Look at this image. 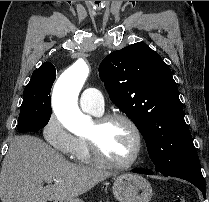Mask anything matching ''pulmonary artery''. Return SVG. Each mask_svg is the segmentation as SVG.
Instances as JSON below:
<instances>
[{
    "mask_svg": "<svg viewBox=\"0 0 209 202\" xmlns=\"http://www.w3.org/2000/svg\"><path fill=\"white\" fill-rule=\"evenodd\" d=\"M79 105L82 110L94 115H100L104 111V101L99 88L86 87L79 97Z\"/></svg>",
    "mask_w": 209,
    "mask_h": 202,
    "instance_id": "obj_1",
    "label": "pulmonary artery"
}]
</instances>
